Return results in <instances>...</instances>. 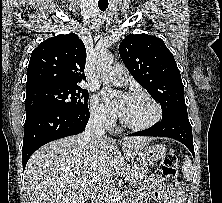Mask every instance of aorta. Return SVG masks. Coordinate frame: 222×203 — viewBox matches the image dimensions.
Instances as JSON below:
<instances>
[{"label":"aorta","mask_w":222,"mask_h":203,"mask_svg":"<svg viewBox=\"0 0 222 203\" xmlns=\"http://www.w3.org/2000/svg\"><path fill=\"white\" fill-rule=\"evenodd\" d=\"M114 58L113 55L108 52H101L96 62V72L102 78L107 79V75L111 70Z\"/></svg>","instance_id":"aorta-1"}]
</instances>
